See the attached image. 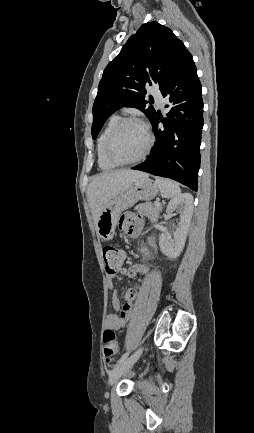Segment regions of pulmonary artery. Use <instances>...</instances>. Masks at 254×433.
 <instances>
[{
    "mask_svg": "<svg viewBox=\"0 0 254 433\" xmlns=\"http://www.w3.org/2000/svg\"><path fill=\"white\" fill-rule=\"evenodd\" d=\"M151 94L153 95V97L157 101L158 105L161 106L163 103V96H162L161 92L159 91V89L157 87H153L151 89Z\"/></svg>",
    "mask_w": 254,
    "mask_h": 433,
    "instance_id": "pulmonary-artery-1",
    "label": "pulmonary artery"
}]
</instances>
